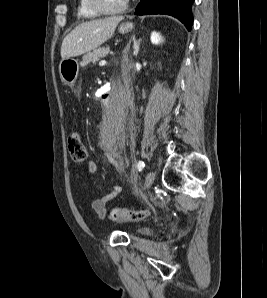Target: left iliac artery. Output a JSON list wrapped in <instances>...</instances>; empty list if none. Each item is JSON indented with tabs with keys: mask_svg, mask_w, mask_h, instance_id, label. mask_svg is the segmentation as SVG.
<instances>
[{
	"mask_svg": "<svg viewBox=\"0 0 267 298\" xmlns=\"http://www.w3.org/2000/svg\"><path fill=\"white\" fill-rule=\"evenodd\" d=\"M144 167H145V163L143 161L139 160L137 163L138 172L142 171L144 169Z\"/></svg>",
	"mask_w": 267,
	"mask_h": 298,
	"instance_id": "left-iliac-artery-1",
	"label": "left iliac artery"
}]
</instances>
